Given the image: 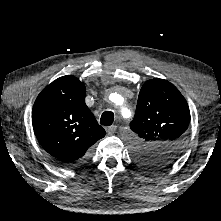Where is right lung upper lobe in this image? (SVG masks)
I'll list each match as a JSON object with an SVG mask.
<instances>
[{"label":"right lung upper lobe","instance_id":"right-lung-upper-lobe-1","mask_svg":"<svg viewBox=\"0 0 221 221\" xmlns=\"http://www.w3.org/2000/svg\"><path fill=\"white\" fill-rule=\"evenodd\" d=\"M85 96L84 83L67 75L46 86L33 106L32 124L39 143L64 164L84 159L89 148L105 136Z\"/></svg>","mask_w":221,"mask_h":221}]
</instances>
